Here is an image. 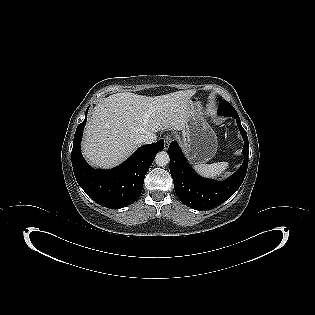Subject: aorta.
Listing matches in <instances>:
<instances>
[{
	"mask_svg": "<svg viewBox=\"0 0 315 315\" xmlns=\"http://www.w3.org/2000/svg\"><path fill=\"white\" fill-rule=\"evenodd\" d=\"M169 160H170L169 155L165 151L158 152L155 157V162L160 167L168 165Z\"/></svg>",
	"mask_w": 315,
	"mask_h": 315,
	"instance_id": "1",
	"label": "aorta"
}]
</instances>
